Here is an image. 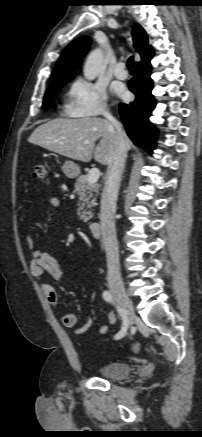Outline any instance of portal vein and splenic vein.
<instances>
[{"label": "portal vein and splenic vein", "mask_w": 202, "mask_h": 437, "mask_svg": "<svg viewBox=\"0 0 202 437\" xmlns=\"http://www.w3.org/2000/svg\"><path fill=\"white\" fill-rule=\"evenodd\" d=\"M100 177V170L97 168H93L89 171L87 175V182L89 184L96 183Z\"/></svg>", "instance_id": "1"}]
</instances>
